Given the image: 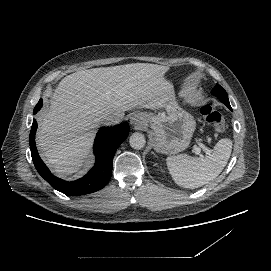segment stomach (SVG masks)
<instances>
[{"label": "stomach", "instance_id": "stomach-1", "mask_svg": "<svg viewBox=\"0 0 271 271\" xmlns=\"http://www.w3.org/2000/svg\"><path fill=\"white\" fill-rule=\"evenodd\" d=\"M168 116L141 113L145 119L143 127H151L154 149L166 154L180 153L185 150L195 129L193 117L177 106L173 98L167 104Z\"/></svg>", "mask_w": 271, "mask_h": 271}]
</instances>
